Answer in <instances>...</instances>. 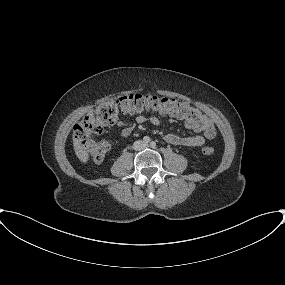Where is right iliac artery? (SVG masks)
Returning <instances> with one entry per match:
<instances>
[{
  "instance_id": "1",
  "label": "right iliac artery",
  "mask_w": 285,
  "mask_h": 285,
  "mask_svg": "<svg viewBox=\"0 0 285 285\" xmlns=\"http://www.w3.org/2000/svg\"><path fill=\"white\" fill-rule=\"evenodd\" d=\"M149 142H150V138L147 137V136H145V137L143 138V143L148 144Z\"/></svg>"
}]
</instances>
